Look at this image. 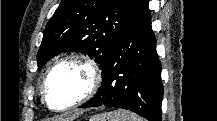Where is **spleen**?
<instances>
[{
    "label": "spleen",
    "instance_id": "1",
    "mask_svg": "<svg viewBox=\"0 0 217 121\" xmlns=\"http://www.w3.org/2000/svg\"><path fill=\"white\" fill-rule=\"evenodd\" d=\"M91 121H141V119L128 111L116 110L96 115Z\"/></svg>",
    "mask_w": 217,
    "mask_h": 121
}]
</instances>
